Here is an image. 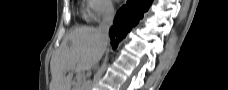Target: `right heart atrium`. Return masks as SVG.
Masks as SVG:
<instances>
[{
  "label": "right heart atrium",
  "instance_id": "1",
  "mask_svg": "<svg viewBox=\"0 0 228 90\" xmlns=\"http://www.w3.org/2000/svg\"><path fill=\"white\" fill-rule=\"evenodd\" d=\"M89 9V19L99 20L100 18L111 16L114 13V6L110 0H87Z\"/></svg>",
  "mask_w": 228,
  "mask_h": 90
}]
</instances>
